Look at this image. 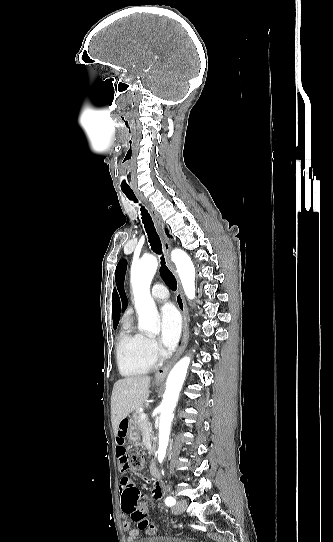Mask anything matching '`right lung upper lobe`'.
I'll return each mask as SVG.
<instances>
[{"label":"right lung upper lobe","instance_id":"obj_1","mask_svg":"<svg viewBox=\"0 0 333 542\" xmlns=\"http://www.w3.org/2000/svg\"><path fill=\"white\" fill-rule=\"evenodd\" d=\"M112 314H113V326L118 325L120 319V302L119 297L114 289L113 291V301H112Z\"/></svg>","mask_w":333,"mask_h":542}]
</instances>
